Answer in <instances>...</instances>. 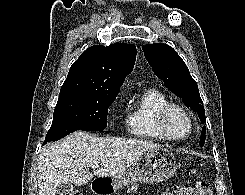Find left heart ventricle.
<instances>
[{
	"label": "left heart ventricle",
	"instance_id": "1",
	"mask_svg": "<svg viewBox=\"0 0 245 195\" xmlns=\"http://www.w3.org/2000/svg\"><path fill=\"white\" fill-rule=\"evenodd\" d=\"M166 126L171 135L176 137L185 136L189 131L187 118L179 111H171L166 119Z\"/></svg>",
	"mask_w": 245,
	"mask_h": 195
}]
</instances>
